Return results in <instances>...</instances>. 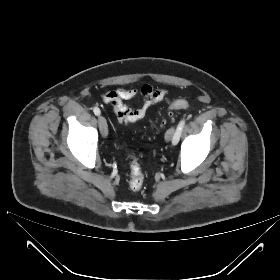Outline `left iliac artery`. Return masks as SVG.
<instances>
[{"instance_id":"obj_1","label":"left iliac artery","mask_w":280,"mask_h":280,"mask_svg":"<svg viewBox=\"0 0 280 280\" xmlns=\"http://www.w3.org/2000/svg\"><path fill=\"white\" fill-rule=\"evenodd\" d=\"M185 119H182L180 122H179V124H178V126H177V129H176V132H175V134H174V137H173V139H172V144L173 145H176L177 143H178V141H179V139H180V136H181V132H182V130H183V128H184V125H185Z\"/></svg>"}]
</instances>
